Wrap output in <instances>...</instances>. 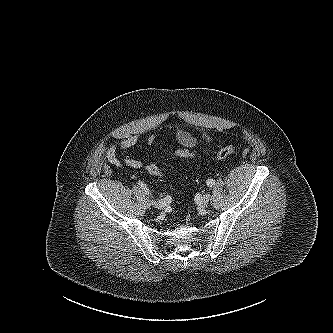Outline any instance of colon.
I'll return each mask as SVG.
<instances>
[{
    "instance_id": "5ec220e1",
    "label": "colon",
    "mask_w": 333,
    "mask_h": 333,
    "mask_svg": "<svg viewBox=\"0 0 333 333\" xmlns=\"http://www.w3.org/2000/svg\"><path fill=\"white\" fill-rule=\"evenodd\" d=\"M236 152V147L233 145H228L221 148L219 151L212 155L215 159H224L226 157L231 156ZM176 156L181 158H191L197 156V153L188 149H179L175 152ZM147 172L153 176H161L163 175L162 169H160L155 164H150L146 167Z\"/></svg>"
}]
</instances>
